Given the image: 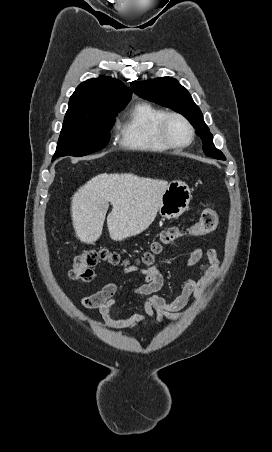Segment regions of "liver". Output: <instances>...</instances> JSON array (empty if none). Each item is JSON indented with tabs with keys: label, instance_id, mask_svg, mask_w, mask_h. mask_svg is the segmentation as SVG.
I'll return each instance as SVG.
<instances>
[{
	"label": "liver",
	"instance_id": "1",
	"mask_svg": "<svg viewBox=\"0 0 272 452\" xmlns=\"http://www.w3.org/2000/svg\"><path fill=\"white\" fill-rule=\"evenodd\" d=\"M165 180L143 178L134 174H99L74 193L71 216L76 237L87 244L96 242L107 227L111 239L122 241L145 231L154 221Z\"/></svg>",
	"mask_w": 272,
	"mask_h": 452
}]
</instances>
